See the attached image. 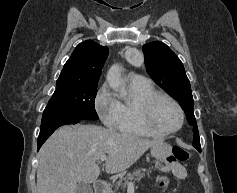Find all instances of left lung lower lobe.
Instances as JSON below:
<instances>
[{
    "instance_id": "0a47b994",
    "label": "left lung lower lobe",
    "mask_w": 237,
    "mask_h": 193,
    "mask_svg": "<svg viewBox=\"0 0 237 193\" xmlns=\"http://www.w3.org/2000/svg\"><path fill=\"white\" fill-rule=\"evenodd\" d=\"M197 150H198L199 152H201V149H200V148H198Z\"/></svg>"
}]
</instances>
